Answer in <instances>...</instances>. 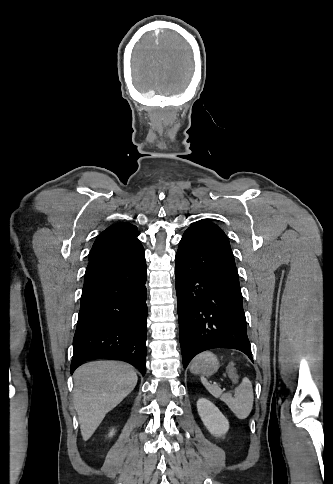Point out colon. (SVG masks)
Segmentation results:
<instances>
[{
  "label": "colon",
  "instance_id": "obj_1",
  "mask_svg": "<svg viewBox=\"0 0 333 484\" xmlns=\"http://www.w3.org/2000/svg\"><path fill=\"white\" fill-rule=\"evenodd\" d=\"M228 375H229L230 379L233 382H237L238 381V377H237V374H236V371H235V367L233 365H230L229 366V368H228Z\"/></svg>",
  "mask_w": 333,
  "mask_h": 484
}]
</instances>
